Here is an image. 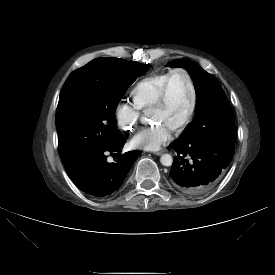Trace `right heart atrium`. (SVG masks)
Returning <instances> with one entry per match:
<instances>
[{
    "mask_svg": "<svg viewBox=\"0 0 275 275\" xmlns=\"http://www.w3.org/2000/svg\"><path fill=\"white\" fill-rule=\"evenodd\" d=\"M141 116L140 109L135 104L119 101L114 109V118L117 125L125 131H133Z\"/></svg>",
    "mask_w": 275,
    "mask_h": 275,
    "instance_id": "d8ad5b80",
    "label": "right heart atrium"
}]
</instances>
